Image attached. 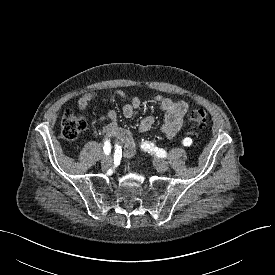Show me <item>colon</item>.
<instances>
[{
  "label": "colon",
  "mask_w": 275,
  "mask_h": 275,
  "mask_svg": "<svg viewBox=\"0 0 275 275\" xmlns=\"http://www.w3.org/2000/svg\"><path fill=\"white\" fill-rule=\"evenodd\" d=\"M191 124L202 128L205 127L208 121L207 113L201 108L192 110L186 117ZM86 118L76 113L71 109L63 112L61 118V133L66 140H74L86 128Z\"/></svg>",
  "instance_id": "1"
}]
</instances>
